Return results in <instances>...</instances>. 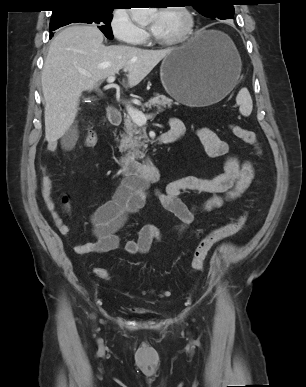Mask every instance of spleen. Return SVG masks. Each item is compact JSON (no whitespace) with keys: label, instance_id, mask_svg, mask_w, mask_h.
I'll return each instance as SVG.
<instances>
[{"label":"spleen","instance_id":"spleen-1","mask_svg":"<svg viewBox=\"0 0 306 387\" xmlns=\"http://www.w3.org/2000/svg\"><path fill=\"white\" fill-rule=\"evenodd\" d=\"M236 103L239 105V111L243 116L248 117L251 114L253 103L247 88H242L239 91L236 97Z\"/></svg>","mask_w":306,"mask_h":387}]
</instances>
